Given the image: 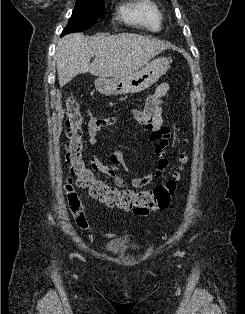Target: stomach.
Here are the masks:
<instances>
[{
	"label": "stomach",
	"mask_w": 245,
	"mask_h": 314,
	"mask_svg": "<svg viewBox=\"0 0 245 314\" xmlns=\"http://www.w3.org/2000/svg\"><path fill=\"white\" fill-rule=\"evenodd\" d=\"M170 68L168 58L159 57L128 75L95 79V88L104 95L135 94L151 87Z\"/></svg>",
	"instance_id": "0dacf381"
}]
</instances>
